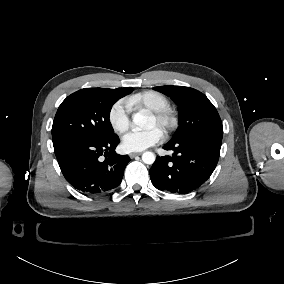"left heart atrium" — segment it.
Here are the masks:
<instances>
[{
    "instance_id": "obj_1",
    "label": "left heart atrium",
    "mask_w": 284,
    "mask_h": 284,
    "mask_svg": "<svg viewBox=\"0 0 284 284\" xmlns=\"http://www.w3.org/2000/svg\"><path fill=\"white\" fill-rule=\"evenodd\" d=\"M163 136L157 128L148 130H127L121 138V146L126 151L147 149L162 140Z\"/></svg>"
}]
</instances>
